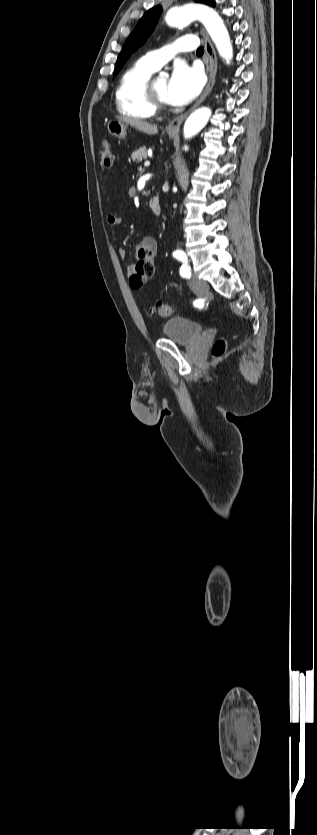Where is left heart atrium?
<instances>
[{"label": "left heart atrium", "mask_w": 317, "mask_h": 835, "mask_svg": "<svg viewBox=\"0 0 317 835\" xmlns=\"http://www.w3.org/2000/svg\"><path fill=\"white\" fill-rule=\"evenodd\" d=\"M203 77L199 69L185 63L175 65L168 81L167 102L172 105H186L201 91Z\"/></svg>", "instance_id": "1"}]
</instances>
